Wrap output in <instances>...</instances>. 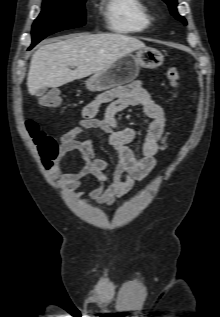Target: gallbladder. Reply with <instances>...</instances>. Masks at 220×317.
Masks as SVG:
<instances>
[{
	"mask_svg": "<svg viewBox=\"0 0 220 317\" xmlns=\"http://www.w3.org/2000/svg\"><path fill=\"white\" fill-rule=\"evenodd\" d=\"M46 88H42V89H39L37 92H36V96H42L45 92H46Z\"/></svg>",
	"mask_w": 220,
	"mask_h": 317,
	"instance_id": "1",
	"label": "gallbladder"
}]
</instances>
